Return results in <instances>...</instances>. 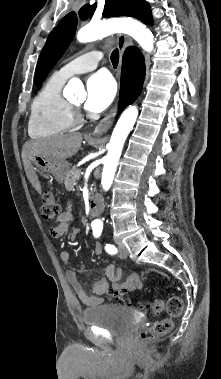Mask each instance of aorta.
Listing matches in <instances>:
<instances>
[{
  "mask_svg": "<svg viewBox=\"0 0 221 379\" xmlns=\"http://www.w3.org/2000/svg\"><path fill=\"white\" fill-rule=\"evenodd\" d=\"M113 33H125L133 37L139 45L147 52L154 48V36L152 32L139 21L132 18H116L99 23H89L78 31L77 40L87 43L101 39ZM65 95L83 97L84 89L81 81L77 78L71 79L64 90ZM138 116V108L134 105L126 108L121 114L108 143V153L104 159L101 184L105 191L109 190L125 140L132 130Z\"/></svg>",
  "mask_w": 221,
  "mask_h": 379,
  "instance_id": "762f6f07",
  "label": "aorta"
}]
</instances>
